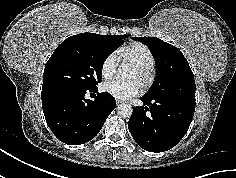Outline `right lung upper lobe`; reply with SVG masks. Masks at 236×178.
<instances>
[{
    "label": "right lung upper lobe",
    "mask_w": 236,
    "mask_h": 178,
    "mask_svg": "<svg viewBox=\"0 0 236 178\" xmlns=\"http://www.w3.org/2000/svg\"><path fill=\"white\" fill-rule=\"evenodd\" d=\"M84 34H93V33H84Z\"/></svg>",
    "instance_id": "1"
}]
</instances>
